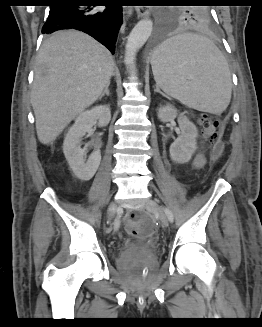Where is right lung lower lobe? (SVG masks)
<instances>
[{
	"instance_id": "98d812e1",
	"label": "right lung lower lobe",
	"mask_w": 262,
	"mask_h": 327,
	"mask_svg": "<svg viewBox=\"0 0 262 327\" xmlns=\"http://www.w3.org/2000/svg\"><path fill=\"white\" fill-rule=\"evenodd\" d=\"M50 11L42 33L62 29L83 31L115 53V43L122 23L121 6H106L97 12L92 6H78L74 0H51Z\"/></svg>"
}]
</instances>
